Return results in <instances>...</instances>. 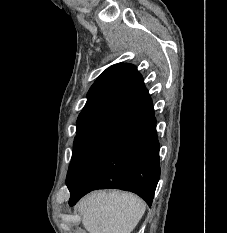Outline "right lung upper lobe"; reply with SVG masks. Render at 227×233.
Instances as JSON below:
<instances>
[{"label": "right lung upper lobe", "instance_id": "cb5924a9", "mask_svg": "<svg viewBox=\"0 0 227 233\" xmlns=\"http://www.w3.org/2000/svg\"><path fill=\"white\" fill-rule=\"evenodd\" d=\"M77 119V133H109L117 136L154 116L143 78L132 64L106 69L87 94Z\"/></svg>", "mask_w": 227, "mask_h": 233}]
</instances>
